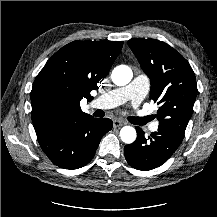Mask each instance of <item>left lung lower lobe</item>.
Returning <instances> with one entry per match:
<instances>
[{
	"mask_svg": "<svg viewBox=\"0 0 217 217\" xmlns=\"http://www.w3.org/2000/svg\"><path fill=\"white\" fill-rule=\"evenodd\" d=\"M137 139L124 147L127 162L135 169L147 171L164 164L179 147L183 135L159 126L148 138L136 127Z\"/></svg>",
	"mask_w": 217,
	"mask_h": 217,
	"instance_id": "left-lung-lower-lobe-1",
	"label": "left lung lower lobe"
}]
</instances>
